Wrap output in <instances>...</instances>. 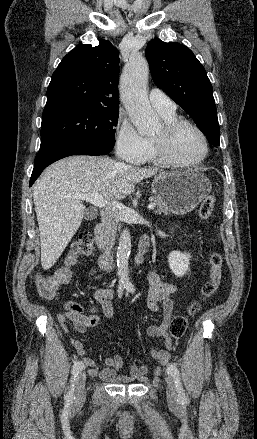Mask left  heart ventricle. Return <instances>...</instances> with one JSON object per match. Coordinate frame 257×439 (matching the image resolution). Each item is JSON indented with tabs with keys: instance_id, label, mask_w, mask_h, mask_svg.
<instances>
[{
	"instance_id": "b2bd125f",
	"label": "left heart ventricle",
	"mask_w": 257,
	"mask_h": 439,
	"mask_svg": "<svg viewBox=\"0 0 257 439\" xmlns=\"http://www.w3.org/2000/svg\"><path fill=\"white\" fill-rule=\"evenodd\" d=\"M161 132L162 127L155 135H159ZM170 148L173 156L182 162L196 161L204 152V144L201 137L195 130L189 127H185L176 133Z\"/></svg>"
}]
</instances>
